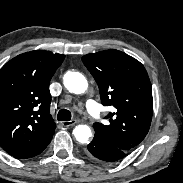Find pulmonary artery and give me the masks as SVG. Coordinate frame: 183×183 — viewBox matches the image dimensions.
Segmentation results:
<instances>
[{"mask_svg": "<svg viewBox=\"0 0 183 183\" xmlns=\"http://www.w3.org/2000/svg\"><path fill=\"white\" fill-rule=\"evenodd\" d=\"M86 108L88 112L94 117L99 118L100 116V110L98 104L93 100H88L86 103Z\"/></svg>", "mask_w": 183, "mask_h": 183, "instance_id": "1", "label": "pulmonary artery"}]
</instances>
